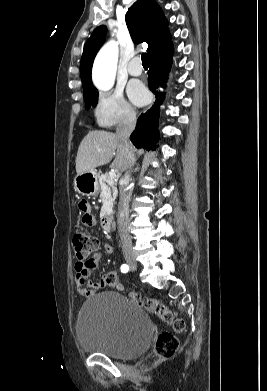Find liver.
Instances as JSON below:
<instances>
[{"label": "liver", "mask_w": 267, "mask_h": 391, "mask_svg": "<svg viewBox=\"0 0 267 391\" xmlns=\"http://www.w3.org/2000/svg\"><path fill=\"white\" fill-rule=\"evenodd\" d=\"M133 150V149H132ZM119 172L128 168V158L116 134L107 131H90L81 141L77 157V175L108 164Z\"/></svg>", "instance_id": "6515ba94"}]
</instances>
